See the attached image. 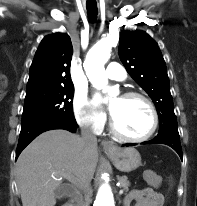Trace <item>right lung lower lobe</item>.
<instances>
[{
    "label": "right lung lower lobe",
    "mask_w": 197,
    "mask_h": 206,
    "mask_svg": "<svg viewBox=\"0 0 197 206\" xmlns=\"http://www.w3.org/2000/svg\"><path fill=\"white\" fill-rule=\"evenodd\" d=\"M77 127L78 125L75 118L69 117L44 119L29 126L21 127L19 142L16 150V159L25 147L42 132L52 129H65L75 132Z\"/></svg>",
    "instance_id": "obj_1"
}]
</instances>
